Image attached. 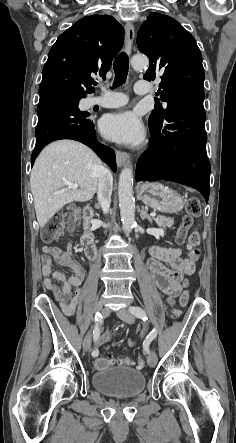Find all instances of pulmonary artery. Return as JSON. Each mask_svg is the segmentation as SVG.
<instances>
[{
    "mask_svg": "<svg viewBox=\"0 0 236 443\" xmlns=\"http://www.w3.org/2000/svg\"><path fill=\"white\" fill-rule=\"evenodd\" d=\"M99 88L102 91L109 92L108 90L104 89L101 85H99ZM134 91L139 95L147 94L150 91L149 83L146 81L136 82L134 86ZM115 95L117 96L116 99L110 101H100L96 97H91L88 99V107L100 106L103 108H116L123 106L127 103V97L124 94L115 93Z\"/></svg>",
    "mask_w": 236,
    "mask_h": 443,
    "instance_id": "obj_1",
    "label": "pulmonary artery"
}]
</instances>
